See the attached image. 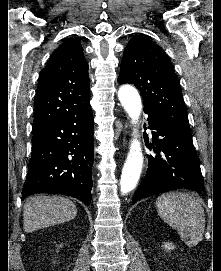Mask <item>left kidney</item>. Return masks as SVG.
Segmentation results:
<instances>
[{"instance_id": "1", "label": "left kidney", "mask_w": 221, "mask_h": 271, "mask_svg": "<svg viewBox=\"0 0 221 271\" xmlns=\"http://www.w3.org/2000/svg\"><path fill=\"white\" fill-rule=\"evenodd\" d=\"M163 249H167V251H171V249H175L174 243H170V241H164V245H162Z\"/></svg>"}]
</instances>
